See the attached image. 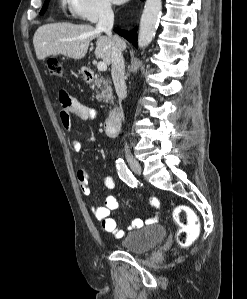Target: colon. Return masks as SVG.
<instances>
[{"mask_svg":"<svg viewBox=\"0 0 247 299\" xmlns=\"http://www.w3.org/2000/svg\"><path fill=\"white\" fill-rule=\"evenodd\" d=\"M49 74L55 77H62L63 69L56 58L47 60ZM173 219L178 226L176 240L182 246L189 245L198 235L199 223L194 212L187 206L179 205L173 210Z\"/></svg>","mask_w":247,"mask_h":299,"instance_id":"1","label":"colon"}]
</instances>
